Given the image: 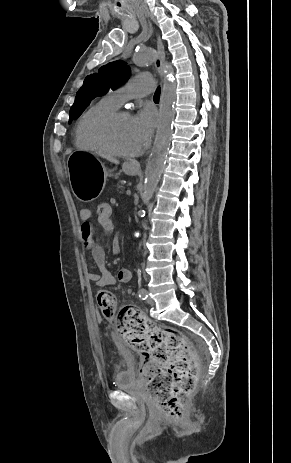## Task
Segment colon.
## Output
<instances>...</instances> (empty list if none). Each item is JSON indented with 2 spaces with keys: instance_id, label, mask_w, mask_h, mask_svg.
<instances>
[{
  "instance_id": "1",
  "label": "colon",
  "mask_w": 291,
  "mask_h": 463,
  "mask_svg": "<svg viewBox=\"0 0 291 463\" xmlns=\"http://www.w3.org/2000/svg\"><path fill=\"white\" fill-rule=\"evenodd\" d=\"M112 203L93 205L99 226H111ZM97 305L105 316L116 314L115 295L98 292ZM117 331L124 341L141 353V374L151 397L171 418L180 419L182 408L196 388L198 366L192 346L178 330L154 324L137 311L124 307L117 313Z\"/></svg>"
}]
</instances>
